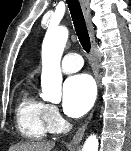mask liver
<instances>
[{
  "label": "liver",
  "mask_w": 131,
  "mask_h": 151,
  "mask_svg": "<svg viewBox=\"0 0 131 151\" xmlns=\"http://www.w3.org/2000/svg\"><path fill=\"white\" fill-rule=\"evenodd\" d=\"M54 142H28L11 147L10 151H51Z\"/></svg>",
  "instance_id": "1"
}]
</instances>
